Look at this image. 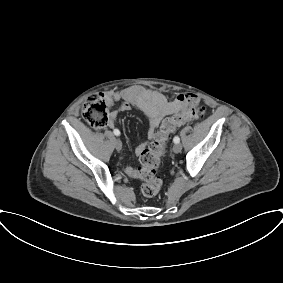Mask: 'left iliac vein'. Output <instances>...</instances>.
Returning <instances> with one entry per match:
<instances>
[{
  "mask_svg": "<svg viewBox=\"0 0 283 283\" xmlns=\"http://www.w3.org/2000/svg\"><path fill=\"white\" fill-rule=\"evenodd\" d=\"M181 150H182V145H181L180 143H176V144L173 146V151H174L175 153H179V152H181Z\"/></svg>",
  "mask_w": 283,
  "mask_h": 283,
  "instance_id": "1",
  "label": "left iliac vein"
}]
</instances>
